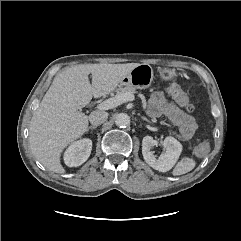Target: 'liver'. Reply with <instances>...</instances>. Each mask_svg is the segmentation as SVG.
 Returning a JSON list of instances; mask_svg holds the SVG:
<instances>
[{
  "instance_id": "6515ba94",
  "label": "liver",
  "mask_w": 241,
  "mask_h": 241,
  "mask_svg": "<svg viewBox=\"0 0 241 241\" xmlns=\"http://www.w3.org/2000/svg\"><path fill=\"white\" fill-rule=\"evenodd\" d=\"M139 63L80 64L60 72L33 113L30 149L48 170L64 174L62 151L88 128V116L78 111L91 101L111 93ZM92 75V83L89 81Z\"/></svg>"
}]
</instances>
